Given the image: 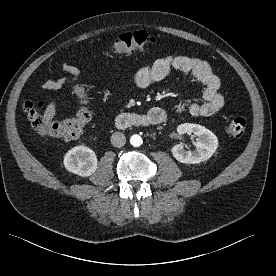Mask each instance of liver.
<instances>
[{
  "instance_id": "1",
  "label": "liver",
  "mask_w": 276,
  "mask_h": 276,
  "mask_svg": "<svg viewBox=\"0 0 276 276\" xmlns=\"http://www.w3.org/2000/svg\"><path fill=\"white\" fill-rule=\"evenodd\" d=\"M55 108H56V105L54 102H51L45 112H44V116H43V120H44V124L46 126L50 125L51 123V120L54 118L55 116Z\"/></svg>"
}]
</instances>
